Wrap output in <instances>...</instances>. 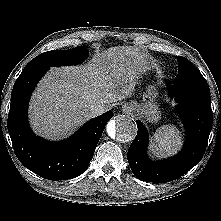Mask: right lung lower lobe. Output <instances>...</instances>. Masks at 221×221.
Wrapping results in <instances>:
<instances>
[{
  "mask_svg": "<svg viewBox=\"0 0 221 221\" xmlns=\"http://www.w3.org/2000/svg\"><path fill=\"white\" fill-rule=\"evenodd\" d=\"M48 69L45 66L27 67L17 78L11 93L8 132L17 158L27 169L45 179L67 180L87 169L113 112L93 118L61 142L37 137L29 127L27 108L34 87Z\"/></svg>",
  "mask_w": 221,
  "mask_h": 221,
  "instance_id": "obj_1",
  "label": "right lung lower lobe"
}]
</instances>
